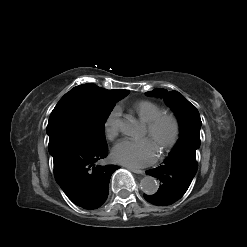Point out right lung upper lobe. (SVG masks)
<instances>
[{
    "mask_svg": "<svg viewBox=\"0 0 247 247\" xmlns=\"http://www.w3.org/2000/svg\"><path fill=\"white\" fill-rule=\"evenodd\" d=\"M80 86L100 91L101 93H103L106 96L115 95V94H118V93H120L122 91L120 89H118V90H107V89H103L101 87H98V86H96L94 84H83V85H80Z\"/></svg>",
    "mask_w": 247,
    "mask_h": 247,
    "instance_id": "cb5924a9",
    "label": "right lung upper lobe"
}]
</instances>
